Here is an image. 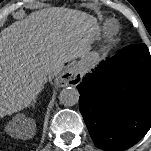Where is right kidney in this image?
<instances>
[{
    "label": "right kidney",
    "mask_w": 151,
    "mask_h": 151,
    "mask_svg": "<svg viewBox=\"0 0 151 151\" xmlns=\"http://www.w3.org/2000/svg\"><path fill=\"white\" fill-rule=\"evenodd\" d=\"M17 121H19L20 123L23 122L20 117L16 116V117L13 119V122H17ZM28 127H29V125L25 127V133H24V135H25L26 138H27V135H26V134H27ZM21 130H22V129H21ZM12 132H15V129H14V128H12Z\"/></svg>",
    "instance_id": "obj_1"
}]
</instances>
